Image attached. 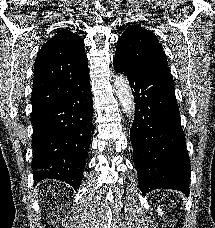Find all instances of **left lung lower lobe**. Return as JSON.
Here are the masks:
<instances>
[{
	"instance_id": "obj_1",
	"label": "left lung lower lobe",
	"mask_w": 215,
	"mask_h": 228,
	"mask_svg": "<svg viewBox=\"0 0 215 228\" xmlns=\"http://www.w3.org/2000/svg\"><path fill=\"white\" fill-rule=\"evenodd\" d=\"M124 73L135 101L130 131L134 163L142 193L172 189L189 194L190 160L169 69L139 70L113 59Z\"/></svg>"
}]
</instances>
